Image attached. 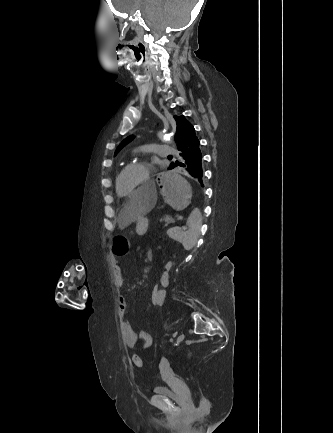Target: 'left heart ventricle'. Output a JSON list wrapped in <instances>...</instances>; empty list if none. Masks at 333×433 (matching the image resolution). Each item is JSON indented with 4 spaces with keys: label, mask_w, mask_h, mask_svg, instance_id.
<instances>
[{
    "label": "left heart ventricle",
    "mask_w": 333,
    "mask_h": 433,
    "mask_svg": "<svg viewBox=\"0 0 333 433\" xmlns=\"http://www.w3.org/2000/svg\"><path fill=\"white\" fill-rule=\"evenodd\" d=\"M142 177L143 170L140 168H133L127 171L119 180L120 192L126 194L132 191Z\"/></svg>",
    "instance_id": "b2bd125f"
}]
</instances>
